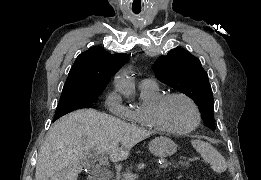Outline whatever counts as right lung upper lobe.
I'll use <instances>...</instances> for the list:
<instances>
[{"label": "right lung upper lobe", "mask_w": 261, "mask_h": 180, "mask_svg": "<svg viewBox=\"0 0 261 180\" xmlns=\"http://www.w3.org/2000/svg\"><path fill=\"white\" fill-rule=\"evenodd\" d=\"M127 60L125 53L110 54L100 46L91 47L77 57L63 89L104 90L111 76Z\"/></svg>", "instance_id": "right-lung-upper-lobe-1"}]
</instances>
